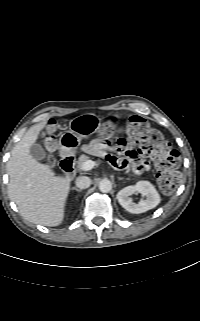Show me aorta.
I'll use <instances>...</instances> for the list:
<instances>
[{
    "label": "aorta",
    "mask_w": 200,
    "mask_h": 321,
    "mask_svg": "<svg viewBox=\"0 0 200 321\" xmlns=\"http://www.w3.org/2000/svg\"><path fill=\"white\" fill-rule=\"evenodd\" d=\"M112 189V183L108 179H103L99 183V190L103 193H108Z\"/></svg>",
    "instance_id": "aorta-1"
}]
</instances>
